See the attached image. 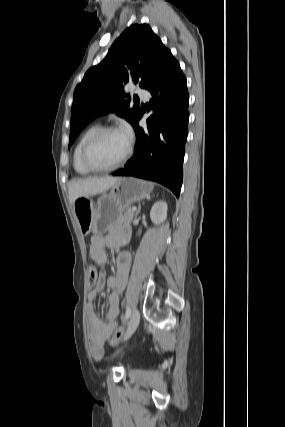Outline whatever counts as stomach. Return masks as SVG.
<instances>
[{
  "mask_svg": "<svg viewBox=\"0 0 285 427\" xmlns=\"http://www.w3.org/2000/svg\"><path fill=\"white\" fill-rule=\"evenodd\" d=\"M153 184L132 177L119 178L110 192L94 202L89 197L78 198L73 206L82 232L103 234L121 221V214L134 201L148 198Z\"/></svg>",
  "mask_w": 285,
  "mask_h": 427,
  "instance_id": "1",
  "label": "stomach"
}]
</instances>
